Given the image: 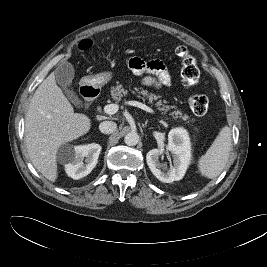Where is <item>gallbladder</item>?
<instances>
[{
	"mask_svg": "<svg viewBox=\"0 0 267 267\" xmlns=\"http://www.w3.org/2000/svg\"><path fill=\"white\" fill-rule=\"evenodd\" d=\"M74 67L67 61L60 62L55 69L56 82L63 90L68 100L78 109L83 107V101L72 88Z\"/></svg>",
	"mask_w": 267,
	"mask_h": 267,
	"instance_id": "gallbladder-1",
	"label": "gallbladder"
}]
</instances>
